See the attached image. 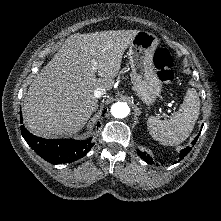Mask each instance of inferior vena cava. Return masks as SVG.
Listing matches in <instances>:
<instances>
[{"label":"inferior vena cava","instance_id":"inferior-vena-cava-1","mask_svg":"<svg viewBox=\"0 0 221 221\" xmlns=\"http://www.w3.org/2000/svg\"><path fill=\"white\" fill-rule=\"evenodd\" d=\"M104 94H106V90L102 87H98L95 89L94 91V96L96 98H100L101 96H103Z\"/></svg>","mask_w":221,"mask_h":221}]
</instances>
